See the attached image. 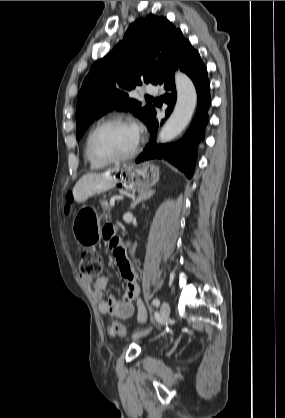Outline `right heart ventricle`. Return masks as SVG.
<instances>
[{
    "label": "right heart ventricle",
    "instance_id": "1",
    "mask_svg": "<svg viewBox=\"0 0 285 418\" xmlns=\"http://www.w3.org/2000/svg\"><path fill=\"white\" fill-rule=\"evenodd\" d=\"M84 151H85V157H86L87 161L89 162V165L92 169H101V168H103L107 165V164H102V163L96 162L93 159H91L88 152H87L86 146H85Z\"/></svg>",
    "mask_w": 285,
    "mask_h": 418
}]
</instances>
